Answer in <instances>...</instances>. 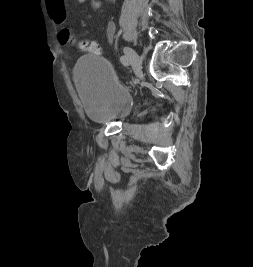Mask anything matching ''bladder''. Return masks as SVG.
<instances>
[{
    "label": "bladder",
    "mask_w": 253,
    "mask_h": 267,
    "mask_svg": "<svg viewBox=\"0 0 253 267\" xmlns=\"http://www.w3.org/2000/svg\"><path fill=\"white\" fill-rule=\"evenodd\" d=\"M74 79L87 118L108 123L130 108L132 95L117 79L110 63L96 54L82 56Z\"/></svg>",
    "instance_id": "1"
}]
</instances>
